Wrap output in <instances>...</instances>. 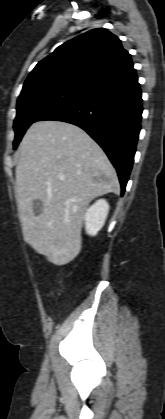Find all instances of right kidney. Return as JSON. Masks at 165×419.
I'll return each mask as SVG.
<instances>
[{"label": "right kidney", "mask_w": 165, "mask_h": 419, "mask_svg": "<svg viewBox=\"0 0 165 419\" xmlns=\"http://www.w3.org/2000/svg\"><path fill=\"white\" fill-rule=\"evenodd\" d=\"M108 212L109 204L104 199L97 200L87 209L84 216L87 234L95 236L101 230L108 216Z\"/></svg>", "instance_id": "obj_1"}]
</instances>
